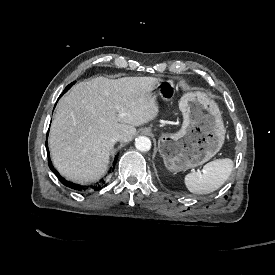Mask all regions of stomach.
Masks as SVG:
<instances>
[{
    "mask_svg": "<svg viewBox=\"0 0 275 275\" xmlns=\"http://www.w3.org/2000/svg\"><path fill=\"white\" fill-rule=\"evenodd\" d=\"M154 96L169 100L173 81L158 80ZM183 123L177 132L162 133L158 150L167 171L184 172L211 160L225 142V127L218 105L201 92L187 93L180 100Z\"/></svg>",
    "mask_w": 275,
    "mask_h": 275,
    "instance_id": "stomach-1",
    "label": "stomach"
}]
</instances>
